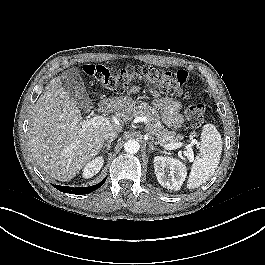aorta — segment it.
<instances>
[{"label":"aorta","mask_w":265,"mask_h":265,"mask_svg":"<svg viewBox=\"0 0 265 265\" xmlns=\"http://www.w3.org/2000/svg\"><path fill=\"white\" fill-rule=\"evenodd\" d=\"M139 149L140 145L137 140L130 139L124 144V150L129 154H136L139 151Z\"/></svg>","instance_id":"obj_1"}]
</instances>
